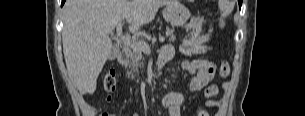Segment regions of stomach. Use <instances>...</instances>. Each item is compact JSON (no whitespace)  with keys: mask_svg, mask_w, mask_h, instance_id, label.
I'll list each match as a JSON object with an SVG mask.
<instances>
[{"mask_svg":"<svg viewBox=\"0 0 305 116\" xmlns=\"http://www.w3.org/2000/svg\"><path fill=\"white\" fill-rule=\"evenodd\" d=\"M163 17L172 26L179 27L186 24L190 11L180 1L174 0L164 8Z\"/></svg>","mask_w":305,"mask_h":116,"instance_id":"obj_1","label":"stomach"}]
</instances>
